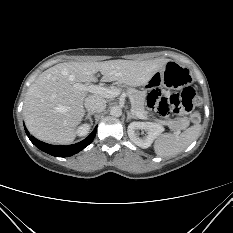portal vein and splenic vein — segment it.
<instances>
[{
	"label": "portal vein and splenic vein",
	"mask_w": 233,
	"mask_h": 233,
	"mask_svg": "<svg viewBox=\"0 0 233 233\" xmlns=\"http://www.w3.org/2000/svg\"><path fill=\"white\" fill-rule=\"evenodd\" d=\"M85 90H87L88 92H91V93L99 94L105 98H114L120 94L119 89H108V88H104V87H101L98 85H90V86L86 87ZM134 113L137 117H139L141 119H145L140 112H134ZM167 124H169V123H167Z\"/></svg>",
	"instance_id": "obj_1"
}]
</instances>
